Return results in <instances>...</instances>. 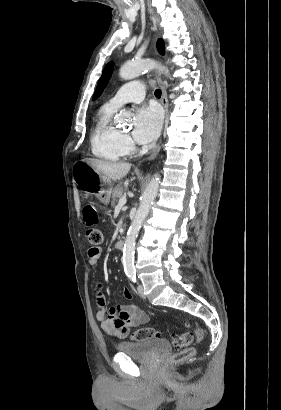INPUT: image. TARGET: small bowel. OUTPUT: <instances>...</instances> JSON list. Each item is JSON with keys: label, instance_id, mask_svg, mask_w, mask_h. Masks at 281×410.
I'll list each match as a JSON object with an SVG mask.
<instances>
[{"label": "small bowel", "instance_id": "c3829d8e", "mask_svg": "<svg viewBox=\"0 0 281 410\" xmlns=\"http://www.w3.org/2000/svg\"><path fill=\"white\" fill-rule=\"evenodd\" d=\"M101 256L100 247H90L88 249L89 264L93 272H97L98 261ZM101 283H97V305L96 318L101 322L103 330L113 336L125 337L129 328L145 324L149 321L146 312L133 304L118 305L107 309L104 296L100 292ZM121 294L125 299L131 298V292L128 288H123Z\"/></svg>", "mask_w": 281, "mask_h": 410}]
</instances>
